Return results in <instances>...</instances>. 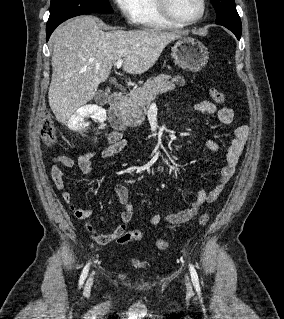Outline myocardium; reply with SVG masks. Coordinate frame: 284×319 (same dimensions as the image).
<instances>
[{"label":"myocardium","mask_w":284,"mask_h":319,"mask_svg":"<svg viewBox=\"0 0 284 319\" xmlns=\"http://www.w3.org/2000/svg\"><path fill=\"white\" fill-rule=\"evenodd\" d=\"M200 2H201V12L196 18L191 20H183L178 18L172 10L171 0H156V6L161 16L167 21H169L170 23L177 26H188V25L195 24L204 18L206 14V10H207V3H206V0H200Z\"/></svg>","instance_id":"myocardium-1"}]
</instances>
